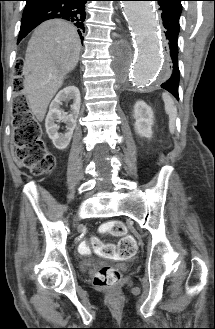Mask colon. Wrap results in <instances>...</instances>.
Returning <instances> with one entry per match:
<instances>
[{
    "label": "colon",
    "instance_id": "5ec220e1",
    "mask_svg": "<svg viewBox=\"0 0 215 329\" xmlns=\"http://www.w3.org/2000/svg\"><path fill=\"white\" fill-rule=\"evenodd\" d=\"M14 62H25V55H14ZM12 73H23V66H12ZM16 90H21V81L14 83ZM14 144L15 156L19 162L29 168L34 175L50 173L56 164L54 155L48 151L42 139V129L39 122L34 118L26 100L17 96L13 105ZM104 234L119 237L117 246L104 244L98 238H91L89 242L80 245L82 252H88L91 246L94 250L106 257L119 259L131 258L137 249L135 239L126 233L124 224L120 221H109L102 225ZM120 273L117 269L109 266L102 267L93 278L95 286L111 289L118 285Z\"/></svg>",
    "mask_w": 215,
    "mask_h": 329
}]
</instances>
